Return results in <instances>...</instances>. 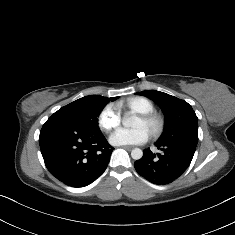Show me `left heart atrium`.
Returning a JSON list of instances; mask_svg holds the SVG:
<instances>
[{"label":"left heart atrium","instance_id":"39dd6f15","mask_svg":"<svg viewBox=\"0 0 235 235\" xmlns=\"http://www.w3.org/2000/svg\"><path fill=\"white\" fill-rule=\"evenodd\" d=\"M148 139L149 133L143 127L132 130L117 129L109 137L110 143L115 146L143 144Z\"/></svg>","mask_w":235,"mask_h":235}]
</instances>
